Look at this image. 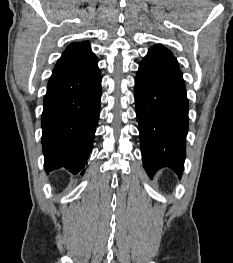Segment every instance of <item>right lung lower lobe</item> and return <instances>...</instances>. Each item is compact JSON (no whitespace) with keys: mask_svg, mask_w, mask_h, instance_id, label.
Wrapping results in <instances>:
<instances>
[{"mask_svg":"<svg viewBox=\"0 0 233 263\" xmlns=\"http://www.w3.org/2000/svg\"><path fill=\"white\" fill-rule=\"evenodd\" d=\"M100 99L101 74L97 61L82 73H52L41 116L47 173L66 168L77 174L85 167L93 146Z\"/></svg>","mask_w":233,"mask_h":263,"instance_id":"98d812e1","label":"right lung lower lobe"}]
</instances>
